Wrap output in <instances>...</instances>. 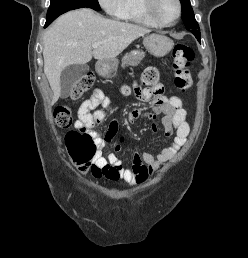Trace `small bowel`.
I'll use <instances>...</instances> for the list:
<instances>
[{
    "mask_svg": "<svg viewBox=\"0 0 248 258\" xmlns=\"http://www.w3.org/2000/svg\"><path fill=\"white\" fill-rule=\"evenodd\" d=\"M137 97L144 103H149L155 96L153 103L154 113H162V125L164 127V136L171 137L174 135L172 143L162 149L155 157L148 152H135L132 158V167L124 168L121 160L113 153L108 154L105 158L101 152L96 154L94 162L101 169H115L118 171V177L114 178L107 175L106 178L111 181L123 180L130 186H139L144 184L148 177L158 168L171 160L176 153L184 146L190 132L189 124L186 121V110L183 107L181 98L178 96L166 97L163 95V87L157 85L153 88H143L136 92ZM111 105V100L101 90L95 89L91 97L82 102L77 115L74 128L79 131L88 132L94 139L97 147L102 148L110 142L117 133L119 123L113 120L108 128L105 138H101L99 133L94 130L97 124L105 120L106 114L104 109ZM101 107V108H99ZM142 115L140 110H132L129 113V120L134 121ZM149 118H154V114H149ZM153 130H156L153 125ZM105 179L104 177L102 178Z\"/></svg>",
    "mask_w": 248,
    "mask_h": 258,
    "instance_id": "1",
    "label": "small bowel"
}]
</instances>
